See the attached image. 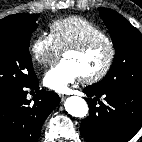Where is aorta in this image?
I'll list each match as a JSON object with an SVG mask.
<instances>
[{"mask_svg":"<svg viewBox=\"0 0 142 142\" xmlns=\"http://www.w3.org/2000/svg\"><path fill=\"white\" fill-rule=\"evenodd\" d=\"M66 111L74 116L83 118L88 114V105L86 101L78 96H71L64 103Z\"/></svg>","mask_w":142,"mask_h":142,"instance_id":"obj_1","label":"aorta"}]
</instances>
